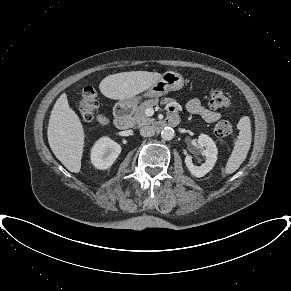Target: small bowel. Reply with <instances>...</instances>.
Wrapping results in <instances>:
<instances>
[{
  "instance_id": "1",
  "label": "small bowel",
  "mask_w": 291,
  "mask_h": 291,
  "mask_svg": "<svg viewBox=\"0 0 291 291\" xmlns=\"http://www.w3.org/2000/svg\"><path fill=\"white\" fill-rule=\"evenodd\" d=\"M186 109L189 113L201 116L206 122L214 123L221 117L220 113L206 107L199 99L194 98L187 102ZM178 105L175 103L169 106V117H176Z\"/></svg>"
}]
</instances>
